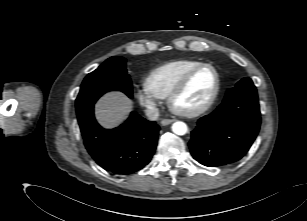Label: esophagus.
Here are the masks:
<instances>
[{
	"instance_id": "1",
	"label": "esophagus",
	"mask_w": 307,
	"mask_h": 221,
	"mask_svg": "<svg viewBox=\"0 0 307 221\" xmlns=\"http://www.w3.org/2000/svg\"><path fill=\"white\" fill-rule=\"evenodd\" d=\"M173 122H174V119H162V120H161V124H162L163 126L169 125V124H171V123H173Z\"/></svg>"
}]
</instances>
